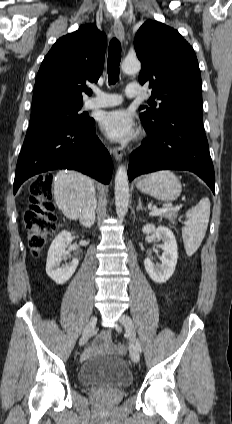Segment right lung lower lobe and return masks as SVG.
I'll use <instances>...</instances> for the list:
<instances>
[{
	"mask_svg": "<svg viewBox=\"0 0 232 424\" xmlns=\"http://www.w3.org/2000/svg\"><path fill=\"white\" fill-rule=\"evenodd\" d=\"M94 121L85 127L30 126L20 152L14 194L28 178L53 169H75L108 184L110 154L95 135Z\"/></svg>",
	"mask_w": 232,
	"mask_h": 424,
	"instance_id": "1",
	"label": "right lung lower lobe"
}]
</instances>
